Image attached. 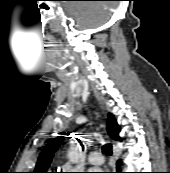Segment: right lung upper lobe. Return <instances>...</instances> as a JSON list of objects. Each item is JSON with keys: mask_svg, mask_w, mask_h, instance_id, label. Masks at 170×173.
<instances>
[{"mask_svg": "<svg viewBox=\"0 0 170 173\" xmlns=\"http://www.w3.org/2000/svg\"><path fill=\"white\" fill-rule=\"evenodd\" d=\"M107 130L108 134L114 140H121L119 137L120 126L117 124L114 116L109 114L107 120ZM63 136H58L52 140L41 152L34 173H48V167L51 163L54 152L61 145Z\"/></svg>", "mask_w": 170, "mask_h": 173, "instance_id": "right-lung-upper-lobe-1", "label": "right lung upper lobe"}]
</instances>
